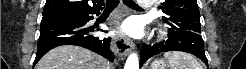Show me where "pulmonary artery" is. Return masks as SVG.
<instances>
[{"label":"pulmonary artery","mask_w":246,"mask_h":69,"mask_svg":"<svg viewBox=\"0 0 246 69\" xmlns=\"http://www.w3.org/2000/svg\"><path fill=\"white\" fill-rule=\"evenodd\" d=\"M139 4L143 7H150L152 5L150 1H139Z\"/></svg>","instance_id":"1"}]
</instances>
